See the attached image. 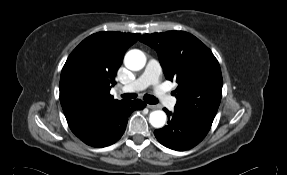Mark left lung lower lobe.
Segmentation results:
<instances>
[{
    "label": "left lung lower lobe",
    "instance_id": "left-lung-lower-lobe-1",
    "mask_svg": "<svg viewBox=\"0 0 287 175\" xmlns=\"http://www.w3.org/2000/svg\"><path fill=\"white\" fill-rule=\"evenodd\" d=\"M164 111L168 115V125L154 131L157 140L164 146L176 151L189 150L207 135L182 114L172 113L166 108Z\"/></svg>",
    "mask_w": 287,
    "mask_h": 175
}]
</instances>
